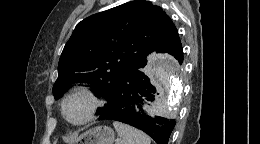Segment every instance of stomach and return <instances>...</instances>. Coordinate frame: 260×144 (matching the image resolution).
Instances as JSON below:
<instances>
[{
    "label": "stomach",
    "mask_w": 260,
    "mask_h": 144,
    "mask_svg": "<svg viewBox=\"0 0 260 144\" xmlns=\"http://www.w3.org/2000/svg\"><path fill=\"white\" fill-rule=\"evenodd\" d=\"M115 133L108 126H97L82 133L75 144H113Z\"/></svg>",
    "instance_id": "1"
}]
</instances>
